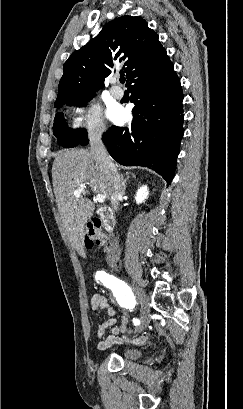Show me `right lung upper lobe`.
Listing matches in <instances>:
<instances>
[{
    "label": "right lung upper lobe",
    "instance_id": "right-lung-upper-lobe-1",
    "mask_svg": "<svg viewBox=\"0 0 243 409\" xmlns=\"http://www.w3.org/2000/svg\"><path fill=\"white\" fill-rule=\"evenodd\" d=\"M158 38L140 17L121 16L107 23L65 62L55 105L92 98L118 66L126 73L128 88L166 71L173 64Z\"/></svg>",
    "mask_w": 243,
    "mask_h": 409
}]
</instances>
